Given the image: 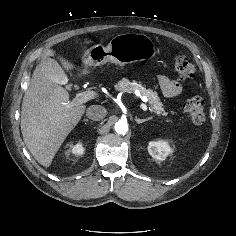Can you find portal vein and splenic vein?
I'll list each match as a JSON object with an SVG mask.
<instances>
[{
    "mask_svg": "<svg viewBox=\"0 0 236 236\" xmlns=\"http://www.w3.org/2000/svg\"><path fill=\"white\" fill-rule=\"evenodd\" d=\"M96 95L97 94L94 91H86V92L78 93L76 95V97L73 99L72 104H74V105L83 104V103H85V102H87L89 100L94 99L96 97ZM144 100H146L145 97H144ZM140 107L145 112L148 110V108H147L145 103H142L140 105Z\"/></svg>",
    "mask_w": 236,
    "mask_h": 236,
    "instance_id": "18ae733b",
    "label": "portal vein and splenic vein"
}]
</instances>
